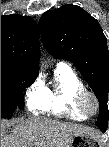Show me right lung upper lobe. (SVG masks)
<instances>
[{
	"label": "right lung upper lobe",
	"mask_w": 109,
	"mask_h": 147,
	"mask_svg": "<svg viewBox=\"0 0 109 147\" xmlns=\"http://www.w3.org/2000/svg\"><path fill=\"white\" fill-rule=\"evenodd\" d=\"M39 29L30 16L11 14L1 17V63L39 71Z\"/></svg>",
	"instance_id": "1"
}]
</instances>
